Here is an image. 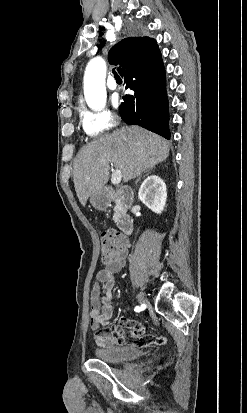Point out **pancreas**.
<instances>
[{
  "instance_id": "1",
  "label": "pancreas",
  "mask_w": 247,
  "mask_h": 413,
  "mask_svg": "<svg viewBox=\"0 0 247 413\" xmlns=\"http://www.w3.org/2000/svg\"><path fill=\"white\" fill-rule=\"evenodd\" d=\"M118 217L116 215V213H114V217H113V221H117Z\"/></svg>"
}]
</instances>
